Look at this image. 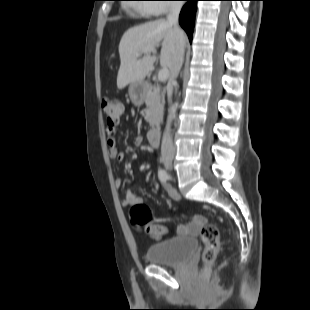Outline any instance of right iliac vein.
I'll use <instances>...</instances> for the list:
<instances>
[{
    "label": "right iliac vein",
    "instance_id": "right-iliac-vein-1",
    "mask_svg": "<svg viewBox=\"0 0 310 310\" xmlns=\"http://www.w3.org/2000/svg\"><path fill=\"white\" fill-rule=\"evenodd\" d=\"M172 161L173 159L171 157H163V163L165 165L166 168H171L172 167Z\"/></svg>",
    "mask_w": 310,
    "mask_h": 310
}]
</instances>
